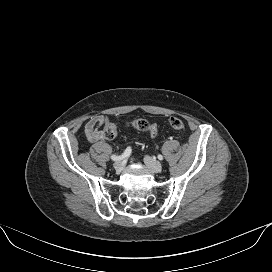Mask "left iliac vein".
I'll list each match as a JSON object with an SVG mask.
<instances>
[{
  "mask_svg": "<svg viewBox=\"0 0 272 272\" xmlns=\"http://www.w3.org/2000/svg\"><path fill=\"white\" fill-rule=\"evenodd\" d=\"M144 162H145L146 166L151 171H153L155 173L161 172V170H162V164L159 161L153 159L152 157L145 156L144 157Z\"/></svg>",
  "mask_w": 272,
  "mask_h": 272,
  "instance_id": "4c4485c4",
  "label": "left iliac vein"
}]
</instances>
